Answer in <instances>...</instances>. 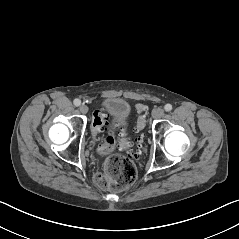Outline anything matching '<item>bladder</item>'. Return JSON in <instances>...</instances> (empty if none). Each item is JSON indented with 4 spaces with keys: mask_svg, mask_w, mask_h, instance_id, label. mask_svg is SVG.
<instances>
[{
    "mask_svg": "<svg viewBox=\"0 0 239 239\" xmlns=\"http://www.w3.org/2000/svg\"><path fill=\"white\" fill-rule=\"evenodd\" d=\"M102 106L106 113L118 122H125L129 118L131 108L129 103L123 98H106L102 102Z\"/></svg>",
    "mask_w": 239,
    "mask_h": 239,
    "instance_id": "31cf9c89",
    "label": "bladder"
}]
</instances>
